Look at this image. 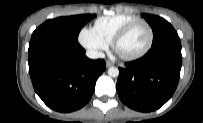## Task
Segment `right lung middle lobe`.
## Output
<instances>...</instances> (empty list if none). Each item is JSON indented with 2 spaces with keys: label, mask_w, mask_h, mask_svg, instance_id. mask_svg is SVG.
Masks as SVG:
<instances>
[{
  "label": "right lung middle lobe",
  "mask_w": 203,
  "mask_h": 123,
  "mask_svg": "<svg viewBox=\"0 0 203 123\" xmlns=\"http://www.w3.org/2000/svg\"><path fill=\"white\" fill-rule=\"evenodd\" d=\"M94 17V14H84L47 20L36 28L32 37L49 35L77 42L82 27Z\"/></svg>",
  "instance_id": "obj_1"
}]
</instances>
